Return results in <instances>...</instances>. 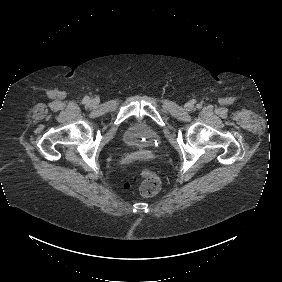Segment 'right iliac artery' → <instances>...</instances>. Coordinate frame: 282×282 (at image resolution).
<instances>
[{
  "mask_svg": "<svg viewBox=\"0 0 282 282\" xmlns=\"http://www.w3.org/2000/svg\"><path fill=\"white\" fill-rule=\"evenodd\" d=\"M83 101H84V103H89L90 100H89L88 97H85Z\"/></svg>",
  "mask_w": 282,
  "mask_h": 282,
  "instance_id": "82829eb1",
  "label": "right iliac artery"
}]
</instances>
